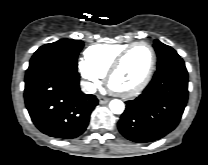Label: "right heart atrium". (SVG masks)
I'll list each match as a JSON object with an SVG mask.
<instances>
[{
    "label": "right heart atrium",
    "instance_id": "right-heart-atrium-1",
    "mask_svg": "<svg viewBox=\"0 0 208 165\" xmlns=\"http://www.w3.org/2000/svg\"><path fill=\"white\" fill-rule=\"evenodd\" d=\"M77 66L85 89L91 90L99 84L101 75L85 59H79Z\"/></svg>",
    "mask_w": 208,
    "mask_h": 165
}]
</instances>
